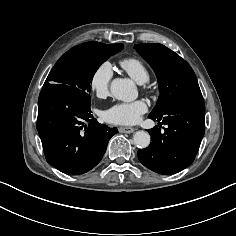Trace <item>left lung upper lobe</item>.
<instances>
[{"mask_svg":"<svg viewBox=\"0 0 236 236\" xmlns=\"http://www.w3.org/2000/svg\"><path fill=\"white\" fill-rule=\"evenodd\" d=\"M134 48L151 65L158 79L160 96L149 115L161 116L176 100L201 94L193 69L178 54L155 43L136 44Z\"/></svg>","mask_w":236,"mask_h":236,"instance_id":"obj_1","label":"left lung upper lobe"}]
</instances>
